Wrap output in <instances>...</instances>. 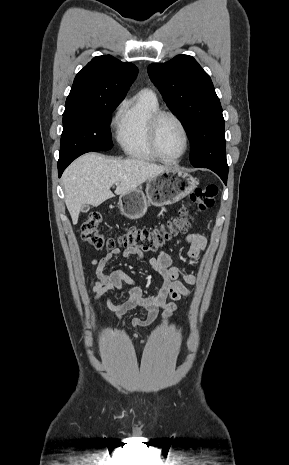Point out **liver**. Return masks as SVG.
Instances as JSON below:
<instances>
[{"instance_id":"obj_1","label":"liver","mask_w":289,"mask_h":465,"mask_svg":"<svg viewBox=\"0 0 289 465\" xmlns=\"http://www.w3.org/2000/svg\"><path fill=\"white\" fill-rule=\"evenodd\" d=\"M169 169L141 159L116 160L95 153L79 157L62 176L65 203L73 224H77L83 205L96 207L114 197L110 190L113 184L117 185L116 195L127 194Z\"/></svg>"}]
</instances>
